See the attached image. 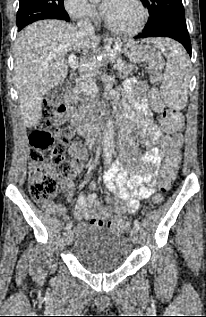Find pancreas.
Returning <instances> with one entry per match:
<instances>
[{"label": "pancreas", "mask_w": 206, "mask_h": 317, "mask_svg": "<svg viewBox=\"0 0 206 317\" xmlns=\"http://www.w3.org/2000/svg\"><path fill=\"white\" fill-rule=\"evenodd\" d=\"M122 64L123 66L119 69V75L121 78L133 75V72L137 69L131 61H125ZM79 95H81V97ZM75 97L76 102L80 101V105L78 107L80 117L84 118L91 116L95 104L97 103L96 97L85 93L81 88H76Z\"/></svg>", "instance_id": "cf45deb5"}]
</instances>
